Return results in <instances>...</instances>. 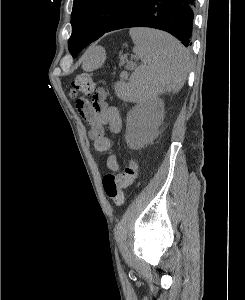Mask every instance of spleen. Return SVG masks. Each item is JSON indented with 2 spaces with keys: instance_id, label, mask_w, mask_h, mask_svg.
Masks as SVG:
<instances>
[{
  "instance_id": "spleen-1",
  "label": "spleen",
  "mask_w": 245,
  "mask_h": 300,
  "mask_svg": "<svg viewBox=\"0 0 245 300\" xmlns=\"http://www.w3.org/2000/svg\"><path fill=\"white\" fill-rule=\"evenodd\" d=\"M129 33L135 45L134 53L143 64L132 73L128 83H116V95L123 101L146 103L156 101L166 91L178 92L190 69L188 51L162 31L134 28ZM100 63L99 58L84 65V69L91 71Z\"/></svg>"
}]
</instances>
